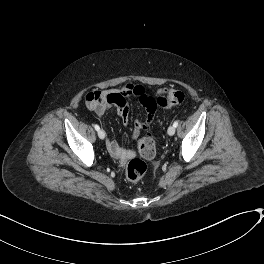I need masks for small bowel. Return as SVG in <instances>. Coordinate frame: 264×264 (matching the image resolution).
Returning <instances> with one entry per match:
<instances>
[{
    "instance_id": "c3829d8e",
    "label": "small bowel",
    "mask_w": 264,
    "mask_h": 264,
    "mask_svg": "<svg viewBox=\"0 0 264 264\" xmlns=\"http://www.w3.org/2000/svg\"><path fill=\"white\" fill-rule=\"evenodd\" d=\"M145 88L141 85L128 83L120 88H110L101 91H95L86 96V105L92 108L98 117H102L111 107H115L117 114L122 118L123 125L128 126L129 123V106L126 99L130 96L145 94ZM156 108L148 110V116L145 124L150 123L154 117ZM138 121H136L137 123ZM106 135V134H105ZM138 136L135 130L132 137ZM106 148L112 157L116 159H127L134 154L132 150L124 149L121 144L113 139L107 138Z\"/></svg>"
}]
</instances>
